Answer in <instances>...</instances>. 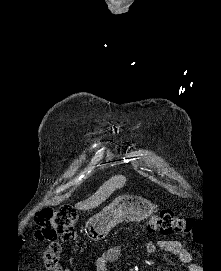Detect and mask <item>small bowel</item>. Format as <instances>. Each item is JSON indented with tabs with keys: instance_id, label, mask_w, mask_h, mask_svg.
<instances>
[{
	"instance_id": "1",
	"label": "small bowel",
	"mask_w": 221,
	"mask_h": 271,
	"mask_svg": "<svg viewBox=\"0 0 221 271\" xmlns=\"http://www.w3.org/2000/svg\"><path fill=\"white\" fill-rule=\"evenodd\" d=\"M143 248L147 254H155L158 250H162L173 255H176L183 263L190 265L192 256L191 253L183 247V245L173 239H162L157 242L145 241ZM121 255V246L115 245L103 253H101L95 261L96 271H108V265L115 262Z\"/></svg>"
}]
</instances>
